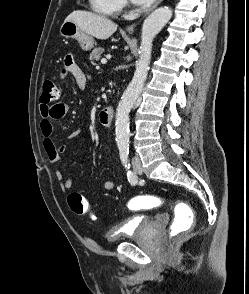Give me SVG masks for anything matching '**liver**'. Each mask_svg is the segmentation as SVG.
I'll list each match as a JSON object with an SVG mask.
<instances>
[{
  "label": "liver",
  "instance_id": "obj_1",
  "mask_svg": "<svg viewBox=\"0 0 249 294\" xmlns=\"http://www.w3.org/2000/svg\"><path fill=\"white\" fill-rule=\"evenodd\" d=\"M74 22L83 32L97 39H108L117 30V24L110 19L88 11H73L65 19Z\"/></svg>",
  "mask_w": 249,
  "mask_h": 294
}]
</instances>
